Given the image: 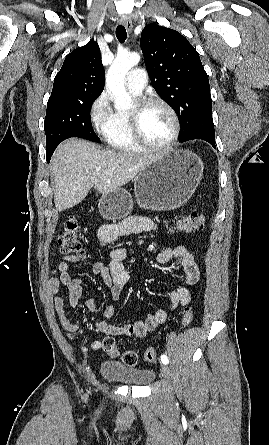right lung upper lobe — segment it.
Here are the masks:
<instances>
[{
	"instance_id": "obj_1",
	"label": "right lung upper lobe",
	"mask_w": 269,
	"mask_h": 445,
	"mask_svg": "<svg viewBox=\"0 0 269 445\" xmlns=\"http://www.w3.org/2000/svg\"><path fill=\"white\" fill-rule=\"evenodd\" d=\"M104 77L99 46L90 41L66 56L50 98L99 96L104 89Z\"/></svg>"
}]
</instances>
